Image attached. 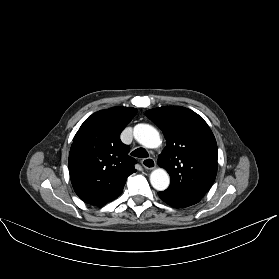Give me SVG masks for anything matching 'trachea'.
Instances as JSON below:
<instances>
[{
  "instance_id": "obj_1",
  "label": "trachea",
  "mask_w": 279,
  "mask_h": 279,
  "mask_svg": "<svg viewBox=\"0 0 279 279\" xmlns=\"http://www.w3.org/2000/svg\"><path fill=\"white\" fill-rule=\"evenodd\" d=\"M132 156L137 158H147L149 157L148 152L144 148H137L132 153Z\"/></svg>"
}]
</instances>
